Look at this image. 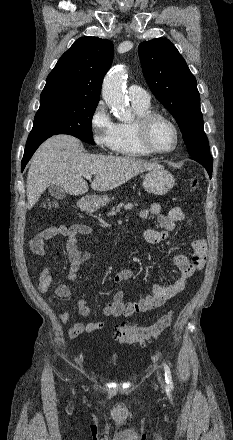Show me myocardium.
Returning a JSON list of instances; mask_svg holds the SVG:
<instances>
[{
  "mask_svg": "<svg viewBox=\"0 0 233 440\" xmlns=\"http://www.w3.org/2000/svg\"><path fill=\"white\" fill-rule=\"evenodd\" d=\"M157 120H163V121L167 122L172 127V129L174 131L175 142H174L173 147L170 149H167V150L157 149L151 143V140H150L151 128ZM134 128H135V132H136V135H137V138H138V141H139L141 147L149 154H152V155L168 154V153L175 151L179 145V142H180L179 129H178L177 125L175 124V122L170 117H168L167 115H165L163 113L156 112V111H150V112H147V113L137 117L134 121Z\"/></svg>",
  "mask_w": 233,
  "mask_h": 440,
  "instance_id": "myocardium-1",
  "label": "myocardium"
}]
</instances>
